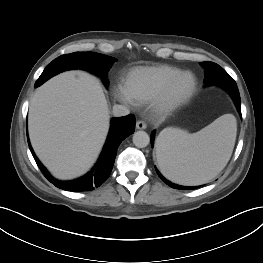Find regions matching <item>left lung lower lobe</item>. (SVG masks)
Returning a JSON list of instances; mask_svg holds the SVG:
<instances>
[{
  "instance_id": "0a47b994",
  "label": "left lung lower lobe",
  "mask_w": 263,
  "mask_h": 263,
  "mask_svg": "<svg viewBox=\"0 0 263 263\" xmlns=\"http://www.w3.org/2000/svg\"><path fill=\"white\" fill-rule=\"evenodd\" d=\"M201 65L204 67L205 69V79H204V82L207 84V85H215L213 84V81H214V77H215V73H217L218 71H220L222 68L213 63V62H202ZM221 87H223L225 90H227L236 107H237V110L239 112V114L241 115V101H240V94H239V90L237 88V85L236 83H230V82H226L222 85H219ZM154 133L155 132H152L151 134V144L153 146V143H154ZM156 169V172L158 174V176L167 184L169 185L170 187L172 188H175V189H183V190H192V189H196L198 187H185V186H180V185H177V184H173L171 182H169L168 180H166L161 174L160 172L157 170V168L155 167Z\"/></svg>"
}]
</instances>
